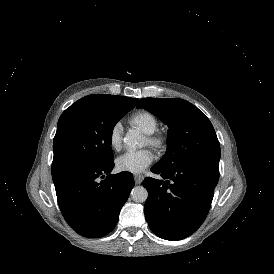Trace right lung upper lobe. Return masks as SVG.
Wrapping results in <instances>:
<instances>
[{
    "instance_id": "1",
    "label": "right lung upper lobe",
    "mask_w": 274,
    "mask_h": 274,
    "mask_svg": "<svg viewBox=\"0 0 274 274\" xmlns=\"http://www.w3.org/2000/svg\"><path fill=\"white\" fill-rule=\"evenodd\" d=\"M111 98H128L135 105L138 102L137 98L122 97V96H116V95H106V94H93V95H88L86 97H83L82 99H80L77 102H75V104H79V103H92V102H97V101L111 99Z\"/></svg>"
}]
</instances>
